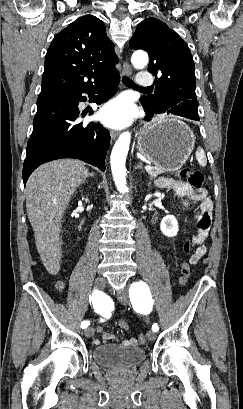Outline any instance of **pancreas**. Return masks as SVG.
<instances>
[{
  "label": "pancreas",
  "mask_w": 243,
  "mask_h": 409,
  "mask_svg": "<svg viewBox=\"0 0 243 409\" xmlns=\"http://www.w3.org/2000/svg\"><path fill=\"white\" fill-rule=\"evenodd\" d=\"M147 172L152 178H156L158 175L164 173L165 170L160 167H151V169L147 170Z\"/></svg>",
  "instance_id": "pancreas-1"
}]
</instances>
